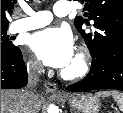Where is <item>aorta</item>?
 <instances>
[{
	"instance_id": "obj_1",
	"label": "aorta",
	"mask_w": 123,
	"mask_h": 113,
	"mask_svg": "<svg viewBox=\"0 0 123 113\" xmlns=\"http://www.w3.org/2000/svg\"><path fill=\"white\" fill-rule=\"evenodd\" d=\"M58 111V107L53 104L48 107V113H58Z\"/></svg>"
}]
</instances>
